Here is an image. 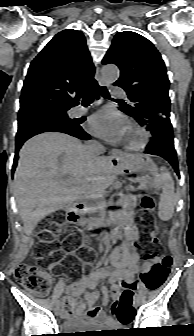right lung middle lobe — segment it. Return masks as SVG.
Returning a JSON list of instances; mask_svg holds the SVG:
<instances>
[{"instance_id": "right-lung-middle-lobe-1", "label": "right lung middle lobe", "mask_w": 194, "mask_h": 336, "mask_svg": "<svg viewBox=\"0 0 194 336\" xmlns=\"http://www.w3.org/2000/svg\"><path fill=\"white\" fill-rule=\"evenodd\" d=\"M69 108L37 109L24 111L18 115V131L33 126H72L77 121L67 115Z\"/></svg>"}]
</instances>
